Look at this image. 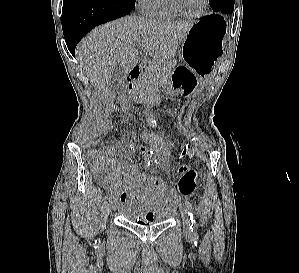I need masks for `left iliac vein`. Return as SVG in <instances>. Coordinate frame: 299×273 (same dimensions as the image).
<instances>
[{"label": "left iliac vein", "instance_id": "4c4485c4", "mask_svg": "<svg viewBox=\"0 0 299 273\" xmlns=\"http://www.w3.org/2000/svg\"><path fill=\"white\" fill-rule=\"evenodd\" d=\"M180 212L182 215L183 219V230L186 236H191V228H190V218H189V213L186 208V206H181L180 207Z\"/></svg>", "mask_w": 299, "mask_h": 273}]
</instances>
